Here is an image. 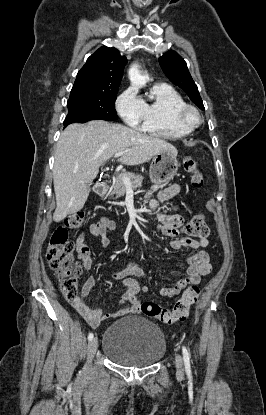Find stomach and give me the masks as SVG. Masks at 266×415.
Masks as SVG:
<instances>
[{
    "label": "stomach",
    "mask_w": 266,
    "mask_h": 415,
    "mask_svg": "<svg viewBox=\"0 0 266 415\" xmlns=\"http://www.w3.org/2000/svg\"><path fill=\"white\" fill-rule=\"evenodd\" d=\"M176 156L169 150H163L153 157L149 170L152 183L167 182L176 174L179 166Z\"/></svg>",
    "instance_id": "0dacf381"
}]
</instances>
